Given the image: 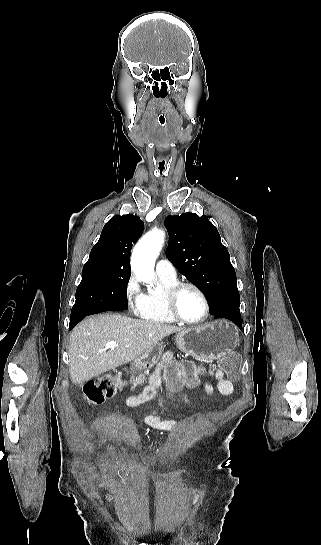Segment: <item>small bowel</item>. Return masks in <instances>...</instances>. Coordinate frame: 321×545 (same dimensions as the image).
I'll return each instance as SVG.
<instances>
[{
  "mask_svg": "<svg viewBox=\"0 0 321 545\" xmlns=\"http://www.w3.org/2000/svg\"><path fill=\"white\" fill-rule=\"evenodd\" d=\"M216 379H217V389L222 395H230L233 392L232 382L224 378L223 372L221 370H218L216 372ZM157 385H158V377L154 376L151 379V384L148 387H146L140 395L127 397L125 399V404L129 407H136L140 404H143L153 399L156 393L155 389ZM204 388L208 394H214V387L211 383L206 382L204 385ZM174 399H178L186 404H189V400L187 399L185 395H183L179 391H172L167 393L163 398H161L158 401L157 407L163 406V404L167 400H174ZM144 421L152 428L158 429V430H171V429H176L178 427V424L176 422L164 421L159 419L156 416L155 410L145 415Z\"/></svg>",
  "mask_w": 321,
  "mask_h": 545,
  "instance_id": "obj_1",
  "label": "small bowel"
}]
</instances>
